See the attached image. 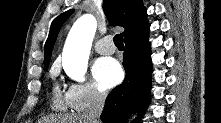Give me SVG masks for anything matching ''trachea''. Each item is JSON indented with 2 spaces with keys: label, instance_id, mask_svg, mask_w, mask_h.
Returning a JSON list of instances; mask_svg holds the SVG:
<instances>
[{
  "label": "trachea",
  "instance_id": "3493384b",
  "mask_svg": "<svg viewBox=\"0 0 221 123\" xmlns=\"http://www.w3.org/2000/svg\"><path fill=\"white\" fill-rule=\"evenodd\" d=\"M114 43L117 48H124L123 38L121 35H115L114 37Z\"/></svg>",
  "mask_w": 221,
  "mask_h": 123
}]
</instances>
